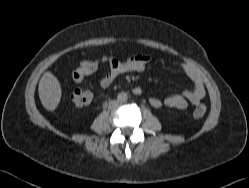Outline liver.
<instances>
[{"label":"liver","mask_w":249,"mask_h":188,"mask_svg":"<svg viewBox=\"0 0 249 188\" xmlns=\"http://www.w3.org/2000/svg\"><path fill=\"white\" fill-rule=\"evenodd\" d=\"M38 93L43 107L48 111H54L62 96V89L58 79L50 72H45L38 85Z\"/></svg>","instance_id":"1"}]
</instances>
